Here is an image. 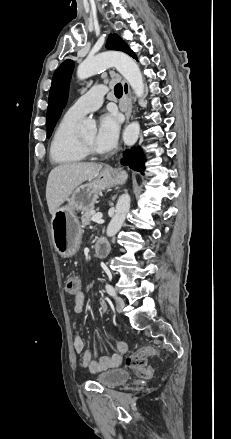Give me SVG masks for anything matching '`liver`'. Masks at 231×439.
<instances>
[{"instance_id":"6515ba94","label":"liver","mask_w":231,"mask_h":439,"mask_svg":"<svg viewBox=\"0 0 231 439\" xmlns=\"http://www.w3.org/2000/svg\"><path fill=\"white\" fill-rule=\"evenodd\" d=\"M102 169L96 163H68L51 170L46 185V200L50 214L68 199L80 184L95 178Z\"/></svg>"}]
</instances>
